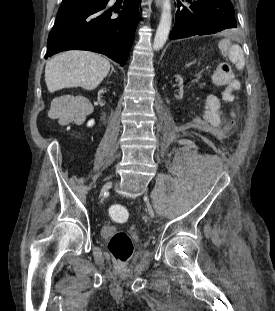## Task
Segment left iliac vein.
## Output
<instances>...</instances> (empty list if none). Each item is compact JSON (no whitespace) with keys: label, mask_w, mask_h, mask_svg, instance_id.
I'll list each match as a JSON object with an SVG mask.
<instances>
[{"label":"left iliac vein","mask_w":275,"mask_h":311,"mask_svg":"<svg viewBox=\"0 0 275 311\" xmlns=\"http://www.w3.org/2000/svg\"><path fill=\"white\" fill-rule=\"evenodd\" d=\"M147 210H148L149 215H150L151 217H154V211H153L152 207H151V206H148Z\"/></svg>","instance_id":"4c4485c4"}]
</instances>
